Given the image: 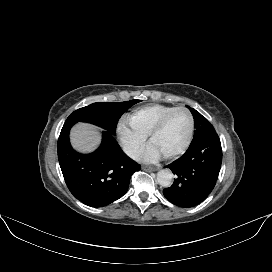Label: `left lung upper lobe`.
I'll use <instances>...</instances> for the list:
<instances>
[{"label":"left lung upper lobe","instance_id":"1","mask_svg":"<svg viewBox=\"0 0 272 272\" xmlns=\"http://www.w3.org/2000/svg\"><path fill=\"white\" fill-rule=\"evenodd\" d=\"M187 107L192 112L194 118V126L196 128L191 145L217 134L211 123L205 117H203L195 109L189 106Z\"/></svg>","mask_w":272,"mask_h":272}]
</instances>
